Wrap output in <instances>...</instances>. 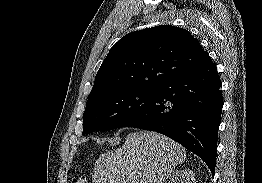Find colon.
<instances>
[{
  "mask_svg": "<svg viewBox=\"0 0 262 183\" xmlns=\"http://www.w3.org/2000/svg\"><path fill=\"white\" fill-rule=\"evenodd\" d=\"M72 183H87V181L85 179L82 178H76L73 180Z\"/></svg>",
  "mask_w": 262,
  "mask_h": 183,
  "instance_id": "colon-1",
  "label": "colon"
}]
</instances>
